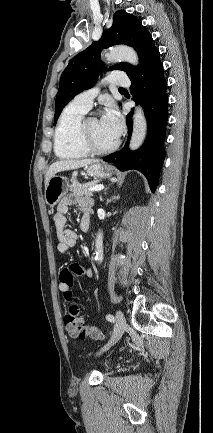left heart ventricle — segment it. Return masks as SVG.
I'll use <instances>...</instances> for the list:
<instances>
[{
    "label": "left heart ventricle",
    "instance_id": "b2bd125f",
    "mask_svg": "<svg viewBox=\"0 0 213 433\" xmlns=\"http://www.w3.org/2000/svg\"><path fill=\"white\" fill-rule=\"evenodd\" d=\"M88 131L92 142L98 148H107L116 141L97 118L89 120Z\"/></svg>",
    "mask_w": 213,
    "mask_h": 433
}]
</instances>
